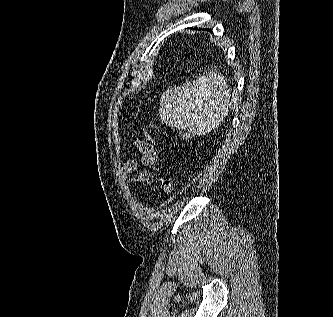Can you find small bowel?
I'll return each instance as SVG.
<instances>
[{"instance_id": "c3829d8e", "label": "small bowel", "mask_w": 333, "mask_h": 317, "mask_svg": "<svg viewBox=\"0 0 333 317\" xmlns=\"http://www.w3.org/2000/svg\"><path fill=\"white\" fill-rule=\"evenodd\" d=\"M150 129L156 130V126L150 124ZM143 138L137 139L135 145L137 146L140 152V158L138 160H128L123 165V174L127 178H131L135 182H144L151 184L153 178L151 173L146 169L138 171L139 165H142L146 168L153 166L158 159V150L155 146L154 140L149 135L146 128L142 131Z\"/></svg>"}]
</instances>
